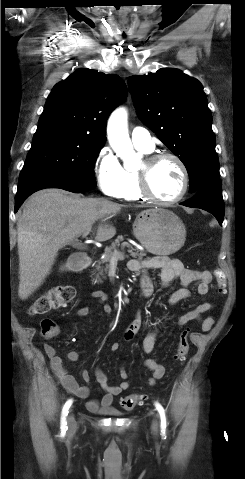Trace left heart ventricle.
<instances>
[{"mask_svg": "<svg viewBox=\"0 0 245 479\" xmlns=\"http://www.w3.org/2000/svg\"><path fill=\"white\" fill-rule=\"evenodd\" d=\"M150 186L160 199L170 200L176 197L182 186L179 166L171 159L158 162L150 174Z\"/></svg>", "mask_w": 245, "mask_h": 479, "instance_id": "1", "label": "left heart ventricle"}]
</instances>
